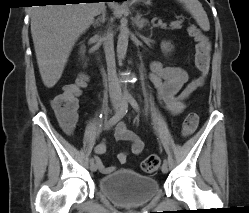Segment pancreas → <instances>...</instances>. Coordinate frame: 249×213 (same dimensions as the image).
<instances>
[{"instance_id":"pancreas-1","label":"pancreas","mask_w":249,"mask_h":213,"mask_svg":"<svg viewBox=\"0 0 249 213\" xmlns=\"http://www.w3.org/2000/svg\"><path fill=\"white\" fill-rule=\"evenodd\" d=\"M181 21H174L170 24V28L173 29H181Z\"/></svg>"}]
</instances>
